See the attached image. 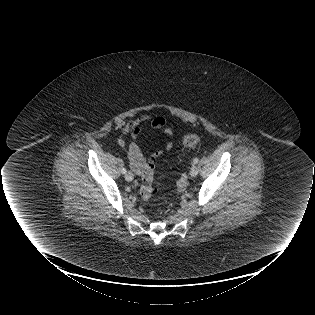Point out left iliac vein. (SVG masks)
<instances>
[{
	"label": "left iliac vein",
	"mask_w": 315,
	"mask_h": 315,
	"mask_svg": "<svg viewBox=\"0 0 315 315\" xmlns=\"http://www.w3.org/2000/svg\"><path fill=\"white\" fill-rule=\"evenodd\" d=\"M198 172H199L198 167L196 165H193L190 169V176L195 177L197 176Z\"/></svg>",
	"instance_id": "1"
}]
</instances>
